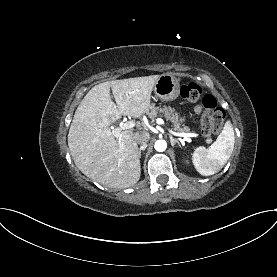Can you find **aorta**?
I'll return each instance as SVG.
<instances>
[{
    "mask_svg": "<svg viewBox=\"0 0 277 277\" xmlns=\"http://www.w3.org/2000/svg\"><path fill=\"white\" fill-rule=\"evenodd\" d=\"M154 148L158 152H163L167 148V143H166L165 140H162V139L161 140H157L155 142Z\"/></svg>",
    "mask_w": 277,
    "mask_h": 277,
    "instance_id": "762f6f07",
    "label": "aorta"
}]
</instances>
